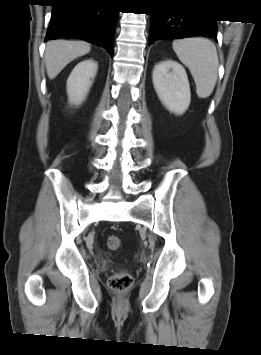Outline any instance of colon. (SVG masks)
Returning <instances> with one entry per match:
<instances>
[{
	"mask_svg": "<svg viewBox=\"0 0 261 355\" xmlns=\"http://www.w3.org/2000/svg\"><path fill=\"white\" fill-rule=\"evenodd\" d=\"M107 246L110 250L116 251L121 247V239L116 235H111L107 238ZM133 284L132 276L127 272H118L112 275L109 279V286L117 292L128 290Z\"/></svg>",
	"mask_w": 261,
	"mask_h": 355,
	"instance_id": "obj_1",
	"label": "colon"
}]
</instances>
